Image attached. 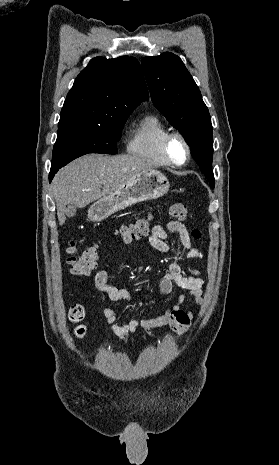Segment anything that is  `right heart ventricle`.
I'll return each instance as SVG.
<instances>
[{"mask_svg": "<svg viewBox=\"0 0 279 465\" xmlns=\"http://www.w3.org/2000/svg\"><path fill=\"white\" fill-rule=\"evenodd\" d=\"M169 126L156 114L145 115L136 125L127 143V151L158 165H170L162 152V141Z\"/></svg>", "mask_w": 279, "mask_h": 465, "instance_id": "e07e8e85", "label": "right heart ventricle"}]
</instances>
